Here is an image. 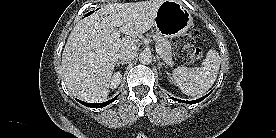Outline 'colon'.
I'll use <instances>...</instances> for the list:
<instances>
[{"instance_id":"obj_1","label":"colon","mask_w":276,"mask_h":138,"mask_svg":"<svg viewBox=\"0 0 276 138\" xmlns=\"http://www.w3.org/2000/svg\"><path fill=\"white\" fill-rule=\"evenodd\" d=\"M201 37L202 33L199 30H194L174 40V60L177 64H189L201 58V48L195 47Z\"/></svg>"}]
</instances>
